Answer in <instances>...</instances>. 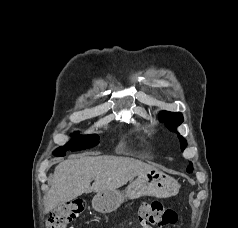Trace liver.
Instances as JSON below:
<instances>
[{"instance_id": "1", "label": "liver", "mask_w": 238, "mask_h": 228, "mask_svg": "<svg viewBox=\"0 0 238 228\" xmlns=\"http://www.w3.org/2000/svg\"><path fill=\"white\" fill-rule=\"evenodd\" d=\"M151 170L156 168L129 157L85 156L62 161L55 168L51 188L44 201L45 213L55 209L59 203L71 201L84 193L118 189Z\"/></svg>"}]
</instances>
